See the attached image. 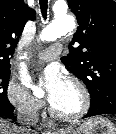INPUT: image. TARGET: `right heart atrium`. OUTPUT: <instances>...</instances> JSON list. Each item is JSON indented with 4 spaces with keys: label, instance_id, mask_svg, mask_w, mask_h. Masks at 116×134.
Returning <instances> with one entry per match:
<instances>
[{
    "label": "right heart atrium",
    "instance_id": "1",
    "mask_svg": "<svg viewBox=\"0 0 116 134\" xmlns=\"http://www.w3.org/2000/svg\"><path fill=\"white\" fill-rule=\"evenodd\" d=\"M6 99L18 112L37 114L42 107V102L32 96L23 86L10 80L6 87Z\"/></svg>",
    "mask_w": 116,
    "mask_h": 134
}]
</instances>
